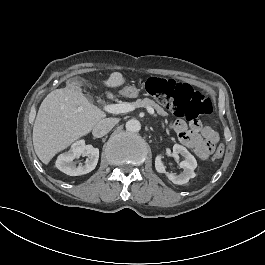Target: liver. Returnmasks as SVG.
Listing matches in <instances>:
<instances>
[{
    "mask_svg": "<svg viewBox=\"0 0 265 265\" xmlns=\"http://www.w3.org/2000/svg\"><path fill=\"white\" fill-rule=\"evenodd\" d=\"M98 83L118 89L127 83V78L121 72H111ZM106 117L83 95L79 81H67L64 88L51 91L40 104L32 132L37 157L48 166L57 154L88 135Z\"/></svg>",
    "mask_w": 265,
    "mask_h": 265,
    "instance_id": "liver-1",
    "label": "liver"
}]
</instances>
